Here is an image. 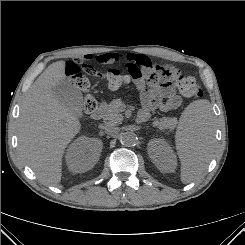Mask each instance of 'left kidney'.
I'll list each match as a JSON object with an SVG mask.
<instances>
[{
	"instance_id": "1",
	"label": "left kidney",
	"mask_w": 245,
	"mask_h": 245,
	"mask_svg": "<svg viewBox=\"0 0 245 245\" xmlns=\"http://www.w3.org/2000/svg\"><path fill=\"white\" fill-rule=\"evenodd\" d=\"M148 153L160 171L173 172L176 167V156L170 145L163 139H152L148 143Z\"/></svg>"
}]
</instances>
